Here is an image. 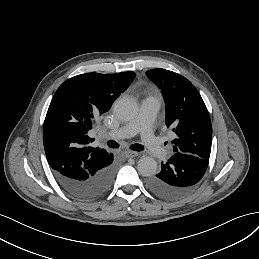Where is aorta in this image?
Returning a JSON list of instances; mask_svg holds the SVG:
<instances>
[{"mask_svg":"<svg viewBox=\"0 0 259 259\" xmlns=\"http://www.w3.org/2000/svg\"><path fill=\"white\" fill-rule=\"evenodd\" d=\"M114 114L122 121L132 120L138 112V105L135 99L123 96L114 103ZM138 172L142 176H153L157 172V162L149 156L141 157L137 163Z\"/></svg>","mask_w":259,"mask_h":259,"instance_id":"aorta-1","label":"aorta"}]
</instances>
